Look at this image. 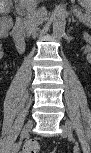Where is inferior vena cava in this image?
<instances>
[{
    "mask_svg": "<svg viewBox=\"0 0 91 153\" xmlns=\"http://www.w3.org/2000/svg\"><path fill=\"white\" fill-rule=\"evenodd\" d=\"M47 11L45 7H42L34 11L28 18L27 21V32L33 37L36 36V30L39 24L43 22L44 17L46 16Z\"/></svg>",
    "mask_w": 91,
    "mask_h": 153,
    "instance_id": "obj_1",
    "label": "inferior vena cava"
}]
</instances>
